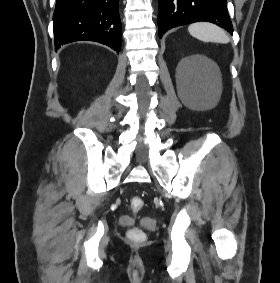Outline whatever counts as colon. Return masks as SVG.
<instances>
[{
    "label": "colon",
    "instance_id": "obj_1",
    "mask_svg": "<svg viewBox=\"0 0 280 283\" xmlns=\"http://www.w3.org/2000/svg\"><path fill=\"white\" fill-rule=\"evenodd\" d=\"M130 204L133 211H139L143 207L144 202L141 197H133ZM129 235L135 240H141L144 238L143 231L138 228L131 229L129 231Z\"/></svg>",
    "mask_w": 280,
    "mask_h": 283
}]
</instances>
